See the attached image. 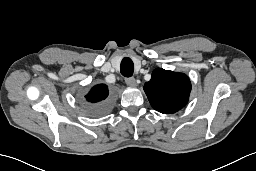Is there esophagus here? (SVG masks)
I'll use <instances>...</instances> for the list:
<instances>
[{
	"label": "esophagus",
	"instance_id": "1",
	"mask_svg": "<svg viewBox=\"0 0 256 171\" xmlns=\"http://www.w3.org/2000/svg\"><path fill=\"white\" fill-rule=\"evenodd\" d=\"M125 82H126V84H127L128 86L134 87V86L137 85L136 80H135V78H133V77L126 78V79H125Z\"/></svg>",
	"mask_w": 256,
	"mask_h": 171
}]
</instances>
